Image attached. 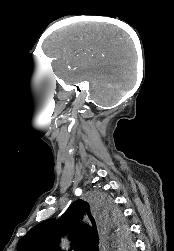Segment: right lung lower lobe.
Here are the masks:
<instances>
[{"mask_svg": "<svg viewBox=\"0 0 174 251\" xmlns=\"http://www.w3.org/2000/svg\"><path fill=\"white\" fill-rule=\"evenodd\" d=\"M102 243L104 244L102 249L103 250H108L109 248V244L111 245L112 242H110L108 239H107V236L109 235V233L106 231V229L103 228V232H102ZM112 246H113V243H112Z\"/></svg>", "mask_w": 174, "mask_h": 251, "instance_id": "1", "label": "right lung lower lobe"}]
</instances>
